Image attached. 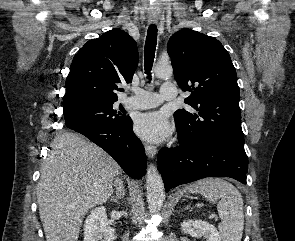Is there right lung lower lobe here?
<instances>
[{"label": "right lung lower lobe", "instance_id": "right-lung-lower-lobe-1", "mask_svg": "<svg viewBox=\"0 0 295 241\" xmlns=\"http://www.w3.org/2000/svg\"><path fill=\"white\" fill-rule=\"evenodd\" d=\"M102 147L131 177L140 179L146 173L144 147L132 130L129 117L124 125L105 122H84L68 127Z\"/></svg>", "mask_w": 295, "mask_h": 241}]
</instances>
